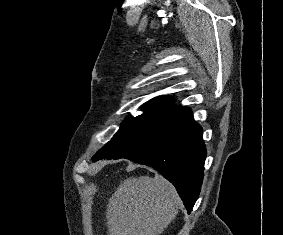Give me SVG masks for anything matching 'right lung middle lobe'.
Instances as JSON below:
<instances>
[{
    "mask_svg": "<svg viewBox=\"0 0 283 235\" xmlns=\"http://www.w3.org/2000/svg\"><path fill=\"white\" fill-rule=\"evenodd\" d=\"M144 113L127 117L113 138L93 157L99 159L126 158L147 148L167 135L190 111L165 103L143 106Z\"/></svg>",
    "mask_w": 283,
    "mask_h": 235,
    "instance_id": "1",
    "label": "right lung middle lobe"
}]
</instances>
